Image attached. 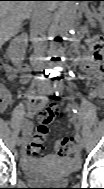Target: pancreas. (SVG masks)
Returning <instances> with one entry per match:
<instances>
[{
    "mask_svg": "<svg viewBox=\"0 0 104 189\" xmlns=\"http://www.w3.org/2000/svg\"><path fill=\"white\" fill-rule=\"evenodd\" d=\"M90 18H94V19H98V15H91V16H89ZM90 21L92 22V23H94V20H92V19H90Z\"/></svg>",
    "mask_w": 104,
    "mask_h": 189,
    "instance_id": "cf45deb5",
    "label": "pancreas"
}]
</instances>
